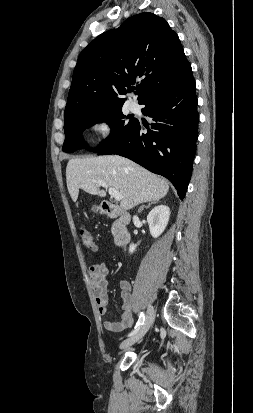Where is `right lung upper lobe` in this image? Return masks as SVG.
Instances as JSON below:
<instances>
[{
	"label": "right lung upper lobe",
	"mask_w": 253,
	"mask_h": 413,
	"mask_svg": "<svg viewBox=\"0 0 253 413\" xmlns=\"http://www.w3.org/2000/svg\"><path fill=\"white\" fill-rule=\"evenodd\" d=\"M191 70L178 35L165 19L140 13L95 38L79 55L64 123L90 111L122 107L137 78L139 104L172 87Z\"/></svg>",
	"instance_id": "cb5924a9"
}]
</instances>
